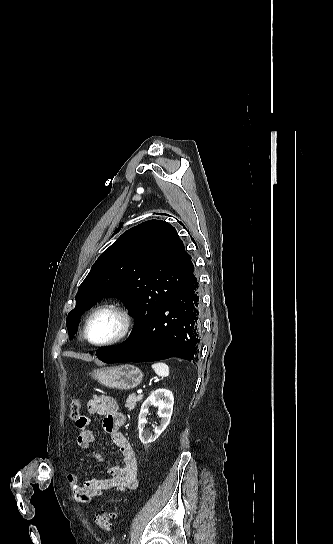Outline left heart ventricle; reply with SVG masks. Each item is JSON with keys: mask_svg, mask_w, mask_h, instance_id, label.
I'll list each match as a JSON object with an SVG mask.
<instances>
[{"mask_svg": "<svg viewBox=\"0 0 333 544\" xmlns=\"http://www.w3.org/2000/svg\"><path fill=\"white\" fill-rule=\"evenodd\" d=\"M121 321L114 312L106 310L98 313L88 329L89 338L94 342H104L113 338L120 330Z\"/></svg>", "mask_w": 333, "mask_h": 544, "instance_id": "b2bd125f", "label": "left heart ventricle"}]
</instances>
